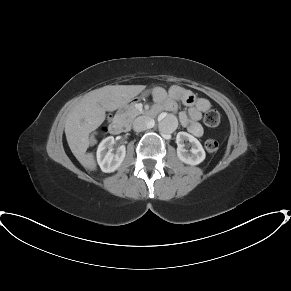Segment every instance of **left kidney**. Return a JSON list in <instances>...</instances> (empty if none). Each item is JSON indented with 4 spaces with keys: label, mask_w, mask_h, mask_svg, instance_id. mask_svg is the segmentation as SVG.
Instances as JSON below:
<instances>
[{
    "label": "left kidney",
    "mask_w": 291,
    "mask_h": 291,
    "mask_svg": "<svg viewBox=\"0 0 291 291\" xmlns=\"http://www.w3.org/2000/svg\"><path fill=\"white\" fill-rule=\"evenodd\" d=\"M189 142L190 150L186 149L184 142ZM177 143V156L178 158L189 165H198L206 157V153L201 145V143L194 136L188 134L187 132H179L176 137Z\"/></svg>",
    "instance_id": "5707ae66"
}]
</instances>
